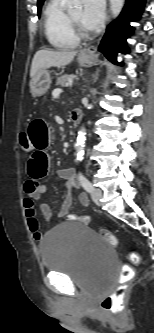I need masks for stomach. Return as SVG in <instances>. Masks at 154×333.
I'll return each instance as SVG.
<instances>
[{"label":"stomach","instance_id":"1","mask_svg":"<svg viewBox=\"0 0 154 333\" xmlns=\"http://www.w3.org/2000/svg\"><path fill=\"white\" fill-rule=\"evenodd\" d=\"M80 65L90 67L97 62V57L87 52H81L77 58ZM51 84V77L46 69H40L35 76L30 80V92L33 97L44 95Z\"/></svg>","mask_w":154,"mask_h":333}]
</instances>
